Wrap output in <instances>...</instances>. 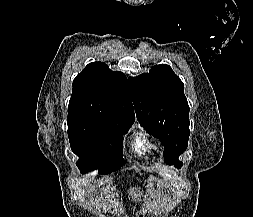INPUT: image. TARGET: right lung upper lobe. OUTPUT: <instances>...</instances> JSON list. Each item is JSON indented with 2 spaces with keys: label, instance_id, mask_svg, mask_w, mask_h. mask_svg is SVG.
Here are the masks:
<instances>
[{
  "label": "right lung upper lobe",
  "instance_id": "1",
  "mask_svg": "<svg viewBox=\"0 0 253 217\" xmlns=\"http://www.w3.org/2000/svg\"><path fill=\"white\" fill-rule=\"evenodd\" d=\"M68 115L133 122L130 78L105 63L88 64L73 80Z\"/></svg>",
  "mask_w": 253,
  "mask_h": 217
}]
</instances>
